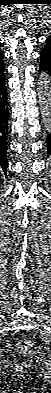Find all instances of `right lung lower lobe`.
<instances>
[{
  "label": "right lung lower lobe",
  "instance_id": "right-lung-lower-lobe-1",
  "mask_svg": "<svg viewBox=\"0 0 51 393\" xmlns=\"http://www.w3.org/2000/svg\"><path fill=\"white\" fill-rule=\"evenodd\" d=\"M4 70L0 72V167L6 174L7 162V135H8V94L6 92Z\"/></svg>",
  "mask_w": 51,
  "mask_h": 393
}]
</instances>
